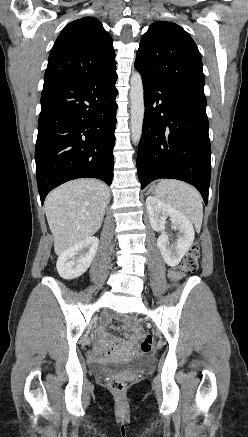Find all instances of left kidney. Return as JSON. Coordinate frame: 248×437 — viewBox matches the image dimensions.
Wrapping results in <instances>:
<instances>
[{"mask_svg":"<svg viewBox=\"0 0 248 437\" xmlns=\"http://www.w3.org/2000/svg\"><path fill=\"white\" fill-rule=\"evenodd\" d=\"M146 207L151 227L161 233L157 245L164 261L172 267L178 265L194 241L192 223L184 214L155 196L147 197ZM166 216L171 218L174 229L178 230L176 242L172 244L165 232Z\"/></svg>","mask_w":248,"mask_h":437,"instance_id":"obj_1","label":"left kidney"}]
</instances>
